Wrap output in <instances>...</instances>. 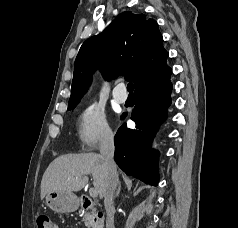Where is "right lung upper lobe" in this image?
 <instances>
[{
    "mask_svg": "<svg viewBox=\"0 0 238 228\" xmlns=\"http://www.w3.org/2000/svg\"><path fill=\"white\" fill-rule=\"evenodd\" d=\"M168 52L153 19L125 11L99 35L87 39L75 60L69 103H77L88 89L97 67L105 79L119 75L133 81L135 91L165 70Z\"/></svg>",
    "mask_w": 238,
    "mask_h": 228,
    "instance_id": "cb5924a9",
    "label": "right lung upper lobe"
}]
</instances>
